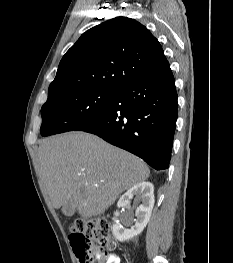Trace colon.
<instances>
[{"label":"colon","instance_id":"colon-1","mask_svg":"<svg viewBox=\"0 0 233 263\" xmlns=\"http://www.w3.org/2000/svg\"><path fill=\"white\" fill-rule=\"evenodd\" d=\"M70 244L80 263H105L115 248L107 219H77L71 226Z\"/></svg>","mask_w":233,"mask_h":263}]
</instances>
